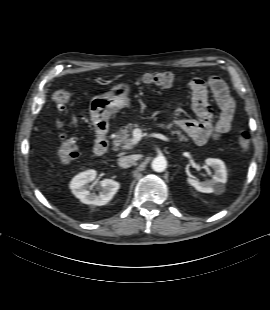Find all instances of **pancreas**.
I'll return each instance as SVG.
<instances>
[{
    "label": "pancreas",
    "instance_id": "obj_1",
    "mask_svg": "<svg viewBox=\"0 0 270 310\" xmlns=\"http://www.w3.org/2000/svg\"><path fill=\"white\" fill-rule=\"evenodd\" d=\"M170 125L165 126L162 123L157 124V126L161 127V128L169 127ZM138 126L139 125L137 123H129V124L123 126L122 128H120L114 134V137H113L114 138L113 139L114 148L115 149H118L119 147H121V148H128L127 146L130 143V141H131V138H130L131 132H132L134 127H138ZM179 135L181 137V140H184V141L188 140V138L186 136H184V135H181L180 132H179Z\"/></svg>",
    "mask_w": 270,
    "mask_h": 310
}]
</instances>
